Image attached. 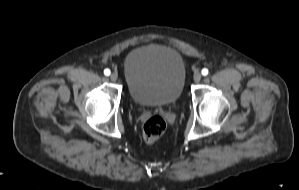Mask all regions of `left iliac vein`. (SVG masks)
I'll list each match as a JSON object with an SVG mask.
<instances>
[{
    "label": "left iliac vein",
    "mask_w": 299,
    "mask_h": 190,
    "mask_svg": "<svg viewBox=\"0 0 299 190\" xmlns=\"http://www.w3.org/2000/svg\"><path fill=\"white\" fill-rule=\"evenodd\" d=\"M201 78H202V75L200 72H196L193 76V79L195 82H199L201 80Z\"/></svg>",
    "instance_id": "4c4485c4"
}]
</instances>
